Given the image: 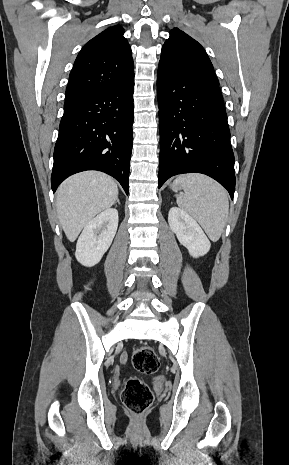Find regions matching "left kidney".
I'll return each mask as SVG.
<instances>
[{"mask_svg": "<svg viewBox=\"0 0 289 465\" xmlns=\"http://www.w3.org/2000/svg\"><path fill=\"white\" fill-rule=\"evenodd\" d=\"M168 223L179 242L194 258L204 256L210 250V241L199 224L180 208L172 207L169 210Z\"/></svg>", "mask_w": 289, "mask_h": 465, "instance_id": "left-kidney-1", "label": "left kidney"}]
</instances>
